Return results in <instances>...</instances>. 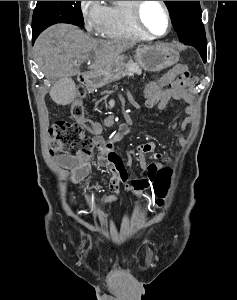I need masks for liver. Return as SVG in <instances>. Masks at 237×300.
Here are the masks:
<instances>
[{
	"label": "liver",
	"mask_w": 237,
	"mask_h": 300,
	"mask_svg": "<svg viewBox=\"0 0 237 300\" xmlns=\"http://www.w3.org/2000/svg\"><path fill=\"white\" fill-rule=\"evenodd\" d=\"M129 41H103L86 35L74 25H53L39 35L35 59L50 77L79 75L81 61H90L88 69H105L119 55L132 49Z\"/></svg>",
	"instance_id": "obj_1"
}]
</instances>
